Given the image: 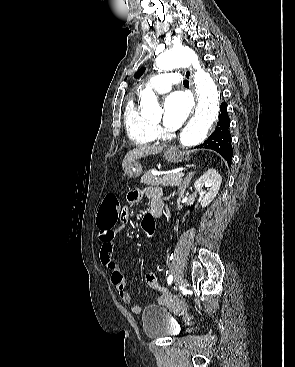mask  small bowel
Wrapping results in <instances>:
<instances>
[{"label":"small bowel","mask_w":295,"mask_h":367,"mask_svg":"<svg viewBox=\"0 0 295 367\" xmlns=\"http://www.w3.org/2000/svg\"><path fill=\"white\" fill-rule=\"evenodd\" d=\"M143 193H145L148 197L151 198V202L153 200H163V195L159 189L156 188H148L144 192L139 189H132L129 191L127 195V200L130 203L138 202ZM130 217V209L122 208L121 209V217L120 222L122 223L118 227H114L113 225L105 226L101 225L97 222L99 228V239L101 241V251H100V260L102 265L110 272V280L113 286L115 287L121 301L125 304H130L131 295L126 290L125 278L121 272L120 266L114 260V239L120 230L124 228L125 223L129 222ZM147 283L155 288L159 289V285L157 282V277L155 273H148L146 275ZM165 298V292L162 291L160 296V301H163ZM133 313H139L141 311V307L139 305H133L131 307Z\"/></svg>","instance_id":"1"}]
</instances>
